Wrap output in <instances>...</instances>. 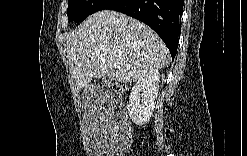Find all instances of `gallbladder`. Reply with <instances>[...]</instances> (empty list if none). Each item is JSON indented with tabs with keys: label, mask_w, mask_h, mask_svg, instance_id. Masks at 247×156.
I'll list each match as a JSON object with an SVG mask.
<instances>
[{
	"label": "gallbladder",
	"mask_w": 247,
	"mask_h": 156,
	"mask_svg": "<svg viewBox=\"0 0 247 156\" xmlns=\"http://www.w3.org/2000/svg\"><path fill=\"white\" fill-rule=\"evenodd\" d=\"M113 79L111 77H109L108 75H106L103 79V83L104 84H110L112 83Z\"/></svg>",
	"instance_id": "1"
}]
</instances>
